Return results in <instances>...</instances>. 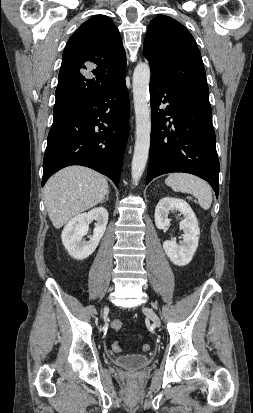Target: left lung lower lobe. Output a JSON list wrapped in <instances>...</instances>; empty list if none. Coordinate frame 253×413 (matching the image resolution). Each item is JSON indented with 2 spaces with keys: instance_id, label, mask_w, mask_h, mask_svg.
I'll return each mask as SVG.
<instances>
[{
  "instance_id": "1",
  "label": "left lung lower lobe",
  "mask_w": 253,
  "mask_h": 413,
  "mask_svg": "<svg viewBox=\"0 0 253 413\" xmlns=\"http://www.w3.org/2000/svg\"><path fill=\"white\" fill-rule=\"evenodd\" d=\"M150 104L147 184L162 174L185 172L208 181L218 196L219 160L211 108L175 91L152 74Z\"/></svg>"
}]
</instances>
